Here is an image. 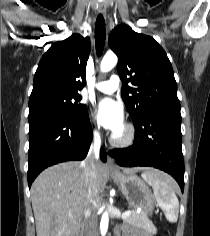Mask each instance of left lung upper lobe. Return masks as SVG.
Returning <instances> with one entry per match:
<instances>
[{"mask_svg":"<svg viewBox=\"0 0 210 236\" xmlns=\"http://www.w3.org/2000/svg\"><path fill=\"white\" fill-rule=\"evenodd\" d=\"M109 45L119 58L122 98L133 121L155 110L180 112L171 63L152 37L120 25L110 33ZM128 82L132 86H127Z\"/></svg>","mask_w":210,"mask_h":236,"instance_id":"obj_1","label":"left lung upper lobe"}]
</instances>
